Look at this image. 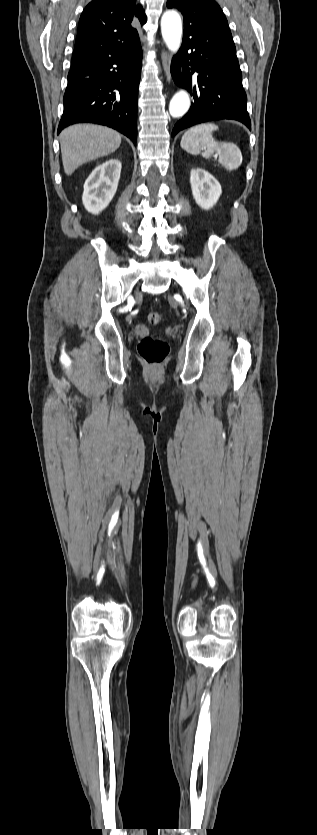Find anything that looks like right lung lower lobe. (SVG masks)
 I'll list each match as a JSON object with an SVG mask.
<instances>
[{"label": "right lung lower lobe", "mask_w": 317, "mask_h": 835, "mask_svg": "<svg viewBox=\"0 0 317 835\" xmlns=\"http://www.w3.org/2000/svg\"><path fill=\"white\" fill-rule=\"evenodd\" d=\"M141 67L139 38L111 50H75L58 134L69 125L89 122L116 129L136 143Z\"/></svg>", "instance_id": "98d812e1"}]
</instances>
